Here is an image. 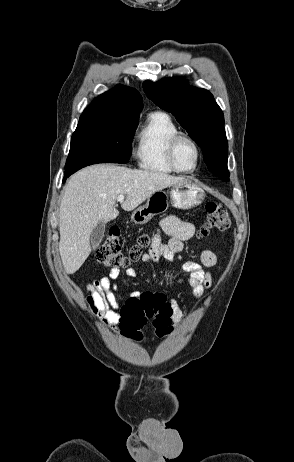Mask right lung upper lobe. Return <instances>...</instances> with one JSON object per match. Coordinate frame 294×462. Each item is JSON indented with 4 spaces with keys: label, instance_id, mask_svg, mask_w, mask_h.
<instances>
[{
    "label": "right lung upper lobe",
    "instance_id": "right-lung-upper-lobe-1",
    "mask_svg": "<svg viewBox=\"0 0 294 462\" xmlns=\"http://www.w3.org/2000/svg\"><path fill=\"white\" fill-rule=\"evenodd\" d=\"M142 108V97L137 90L117 85L114 89L98 96L83 113L104 112L131 116L139 115Z\"/></svg>",
    "mask_w": 294,
    "mask_h": 462
}]
</instances>
